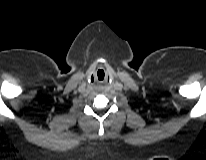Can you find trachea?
I'll list each match as a JSON object with an SVG mask.
<instances>
[{
	"mask_svg": "<svg viewBox=\"0 0 206 160\" xmlns=\"http://www.w3.org/2000/svg\"><path fill=\"white\" fill-rule=\"evenodd\" d=\"M104 76H105L104 71H98V73H97L98 81H103L104 80ZM92 81H93V77H92Z\"/></svg>",
	"mask_w": 206,
	"mask_h": 160,
	"instance_id": "3493384b",
	"label": "trachea"
}]
</instances>
